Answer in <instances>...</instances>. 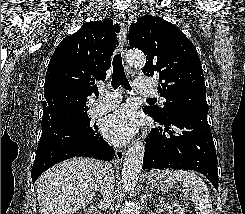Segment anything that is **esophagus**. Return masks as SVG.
I'll list each match as a JSON object with an SVG mask.
<instances>
[{
	"label": "esophagus",
	"mask_w": 245,
	"mask_h": 214,
	"mask_svg": "<svg viewBox=\"0 0 245 214\" xmlns=\"http://www.w3.org/2000/svg\"><path fill=\"white\" fill-rule=\"evenodd\" d=\"M117 20L121 26V34H120V46H121V54L124 57L127 52V26H126V17L121 10L117 11ZM129 72L128 67H126ZM116 158L118 162H121L124 158L125 151L123 149L115 150Z\"/></svg>",
	"instance_id": "esophagus-1"
}]
</instances>
